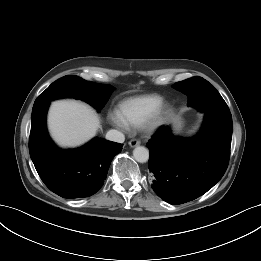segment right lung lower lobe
Wrapping results in <instances>:
<instances>
[{
	"label": "right lung lower lobe",
	"mask_w": 261,
	"mask_h": 261,
	"mask_svg": "<svg viewBox=\"0 0 261 261\" xmlns=\"http://www.w3.org/2000/svg\"><path fill=\"white\" fill-rule=\"evenodd\" d=\"M49 104L32 110L29 151L34 166L45 185L57 195L67 199L89 197L102 187L122 144L96 138L77 149L57 148L46 129Z\"/></svg>",
	"instance_id": "1"
}]
</instances>
